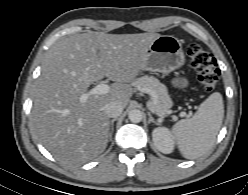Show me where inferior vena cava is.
I'll list each match as a JSON object with an SVG mask.
<instances>
[{"instance_id": "obj_1", "label": "inferior vena cava", "mask_w": 248, "mask_h": 195, "mask_svg": "<svg viewBox=\"0 0 248 195\" xmlns=\"http://www.w3.org/2000/svg\"><path fill=\"white\" fill-rule=\"evenodd\" d=\"M123 106L117 101H112L105 106V112L110 118H116L122 114Z\"/></svg>"}]
</instances>
